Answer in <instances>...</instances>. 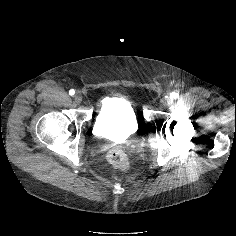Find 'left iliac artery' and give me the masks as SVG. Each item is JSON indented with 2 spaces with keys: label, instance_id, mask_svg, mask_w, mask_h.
Listing matches in <instances>:
<instances>
[{
  "label": "left iliac artery",
  "instance_id": "left-iliac-artery-1",
  "mask_svg": "<svg viewBox=\"0 0 236 236\" xmlns=\"http://www.w3.org/2000/svg\"><path fill=\"white\" fill-rule=\"evenodd\" d=\"M178 97V94L176 92L171 93V98L176 99Z\"/></svg>",
  "mask_w": 236,
  "mask_h": 236
}]
</instances>
